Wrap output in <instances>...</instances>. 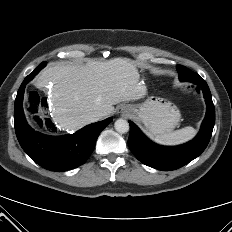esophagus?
<instances>
[{"label":"esophagus","instance_id":"esophagus-1","mask_svg":"<svg viewBox=\"0 0 232 232\" xmlns=\"http://www.w3.org/2000/svg\"><path fill=\"white\" fill-rule=\"evenodd\" d=\"M122 110H123V109H122ZM122 110H121V111H122ZM125 112H126V111H123L122 113H125Z\"/></svg>","mask_w":232,"mask_h":232}]
</instances>
